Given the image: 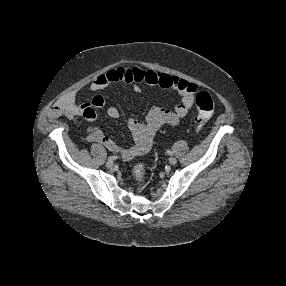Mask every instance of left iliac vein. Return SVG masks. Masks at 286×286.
<instances>
[{
	"label": "left iliac vein",
	"instance_id": "left-iliac-vein-1",
	"mask_svg": "<svg viewBox=\"0 0 286 286\" xmlns=\"http://www.w3.org/2000/svg\"><path fill=\"white\" fill-rule=\"evenodd\" d=\"M169 163H170L171 165H175V164L177 163V159H176L175 157H170V158H169Z\"/></svg>",
	"mask_w": 286,
	"mask_h": 286
}]
</instances>
